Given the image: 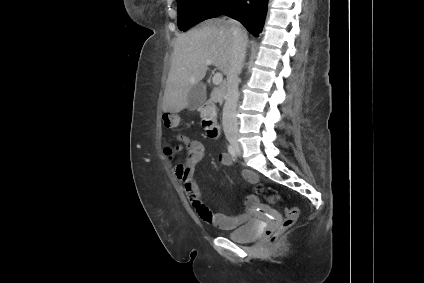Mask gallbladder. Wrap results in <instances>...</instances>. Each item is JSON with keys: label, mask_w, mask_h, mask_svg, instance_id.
<instances>
[{"label": "gallbladder", "mask_w": 424, "mask_h": 283, "mask_svg": "<svg viewBox=\"0 0 424 283\" xmlns=\"http://www.w3.org/2000/svg\"><path fill=\"white\" fill-rule=\"evenodd\" d=\"M205 96H206V92L203 85L198 84L194 86L188 93V101H189L188 109L195 110L197 107H199L201 104V101H203Z\"/></svg>", "instance_id": "bac80fb5"}]
</instances>
